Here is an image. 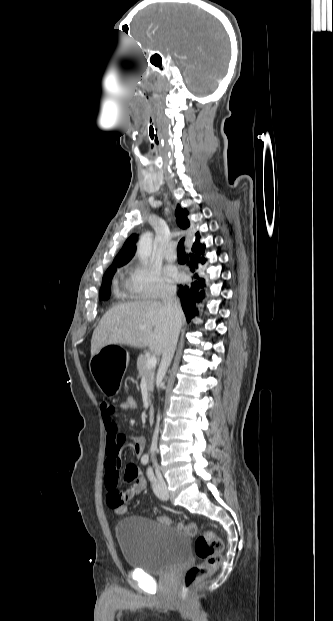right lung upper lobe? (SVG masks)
<instances>
[{
  "instance_id": "1",
  "label": "right lung upper lobe",
  "mask_w": 333,
  "mask_h": 621,
  "mask_svg": "<svg viewBox=\"0 0 333 621\" xmlns=\"http://www.w3.org/2000/svg\"><path fill=\"white\" fill-rule=\"evenodd\" d=\"M188 214L189 212L186 209H182L180 205H177V208L175 210V216H176L179 227L182 229H187L190 226V222L187 217ZM137 239H138V236L136 234H132L126 240L122 249L120 250L118 255L115 257L112 265L109 268L116 267V266H123L132 259L135 253V243ZM194 245H200L199 233L196 234V240L193 246Z\"/></svg>"
}]
</instances>
